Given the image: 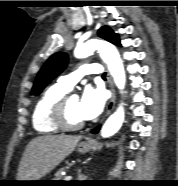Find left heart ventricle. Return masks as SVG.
<instances>
[{
    "label": "left heart ventricle",
    "instance_id": "b2bd125f",
    "mask_svg": "<svg viewBox=\"0 0 178 186\" xmlns=\"http://www.w3.org/2000/svg\"><path fill=\"white\" fill-rule=\"evenodd\" d=\"M67 118L71 123H80L85 121L79 112V100L77 97H71L67 103Z\"/></svg>",
    "mask_w": 178,
    "mask_h": 186
}]
</instances>
